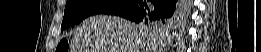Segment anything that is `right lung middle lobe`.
<instances>
[{"label":"right lung middle lobe","instance_id":"right-lung-middle-lobe-1","mask_svg":"<svg viewBox=\"0 0 261 52\" xmlns=\"http://www.w3.org/2000/svg\"><path fill=\"white\" fill-rule=\"evenodd\" d=\"M121 1L122 0H67L61 30L81 22L88 16L103 13ZM180 5L185 7L187 4L181 2ZM172 24L173 20L154 23L156 27L164 29L171 27Z\"/></svg>","mask_w":261,"mask_h":52}]
</instances>
